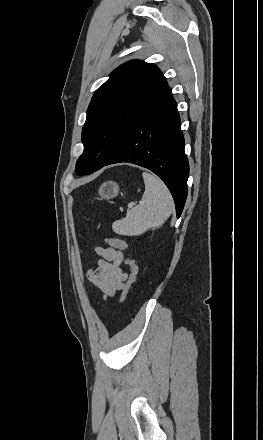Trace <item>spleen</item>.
Listing matches in <instances>:
<instances>
[{"label": "spleen", "instance_id": "1", "mask_svg": "<svg viewBox=\"0 0 263 440\" xmlns=\"http://www.w3.org/2000/svg\"><path fill=\"white\" fill-rule=\"evenodd\" d=\"M145 192L139 205L127 211L126 217L115 221V233L138 236L148 229H156L164 224L174 209L172 196L161 179L148 172L142 173Z\"/></svg>", "mask_w": 263, "mask_h": 440}]
</instances>
